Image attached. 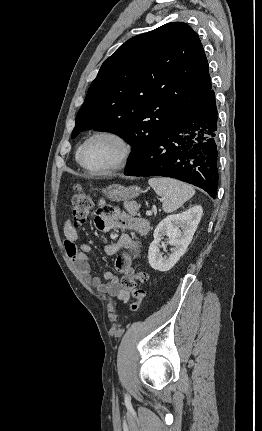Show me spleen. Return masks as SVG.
<instances>
[{
	"label": "spleen",
	"mask_w": 262,
	"mask_h": 431,
	"mask_svg": "<svg viewBox=\"0 0 262 431\" xmlns=\"http://www.w3.org/2000/svg\"><path fill=\"white\" fill-rule=\"evenodd\" d=\"M148 184L163 198L162 208L166 213L177 210L195 194L192 186L171 178L153 177Z\"/></svg>",
	"instance_id": "spleen-1"
}]
</instances>
